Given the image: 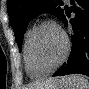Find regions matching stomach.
I'll return each mask as SVG.
<instances>
[{
  "label": "stomach",
  "mask_w": 89,
  "mask_h": 89,
  "mask_svg": "<svg viewBox=\"0 0 89 89\" xmlns=\"http://www.w3.org/2000/svg\"><path fill=\"white\" fill-rule=\"evenodd\" d=\"M47 89H73V88L68 82H66L65 78H63V79H59L55 85H52Z\"/></svg>",
  "instance_id": "obj_1"
}]
</instances>
